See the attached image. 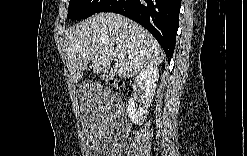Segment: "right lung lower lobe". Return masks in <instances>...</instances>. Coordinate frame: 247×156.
Wrapping results in <instances>:
<instances>
[{
	"mask_svg": "<svg viewBox=\"0 0 247 156\" xmlns=\"http://www.w3.org/2000/svg\"><path fill=\"white\" fill-rule=\"evenodd\" d=\"M180 0H107L98 12L122 14L145 27L168 59L173 55L179 27Z\"/></svg>",
	"mask_w": 247,
	"mask_h": 156,
	"instance_id": "right-lung-lower-lobe-1",
	"label": "right lung lower lobe"
}]
</instances>
